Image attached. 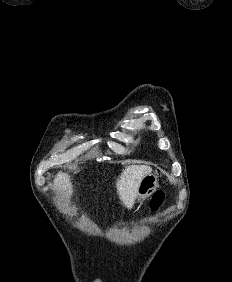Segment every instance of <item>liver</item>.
Segmentation results:
<instances>
[{
    "mask_svg": "<svg viewBox=\"0 0 232 282\" xmlns=\"http://www.w3.org/2000/svg\"><path fill=\"white\" fill-rule=\"evenodd\" d=\"M151 173V168L147 165L127 166L116 181L117 193L125 207L131 209L138 197V189L142 179ZM54 188L56 190L68 191L72 193V185L69 177L59 172L54 179Z\"/></svg>",
    "mask_w": 232,
    "mask_h": 282,
    "instance_id": "liver-1",
    "label": "liver"
}]
</instances>
